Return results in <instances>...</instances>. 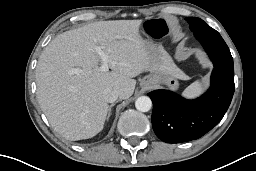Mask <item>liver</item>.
Wrapping results in <instances>:
<instances>
[{
	"instance_id": "6515ba94",
	"label": "liver",
	"mask_w": 256,
	"mask_h": 171,
	"mask_svg": "<svg viewBox=\"0 0 256 171\" xmlns=\"http://www.w3.org/2000/svg\"><path fill=\"white\" fill-rule=\"evenodd\" d=\"M140 25V20L91 23L58 35L43 50L36 67L37 98L53 129L67 140L97 135L109 109L103 91L111 88L128 99L136 85L132 78L151 70ZM97 47L115 62L109 63L112 71L98 67ZM171 71L182 77L176 67Z\"/></svg>"
}]
</instances>
